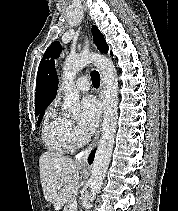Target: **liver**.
<instances>
[{
    "label": "liver",
    "mask_w": 178,
    "mask_h": 211,
    "mask_svg": "<svg viewBox=\"0 0 178 211\" xmlns=\"http://www.w3.org/2000/svg\"><path fill=\"white\" fill-rule=\"evenodd\" d=\"M40 179L45 200L61 210L71 199L79 183L77 163L66 156L45 152L39 159ZM62 185L61 188H58Z\"/></svg>",
    "instance_id": "1"
}]
</instances>
